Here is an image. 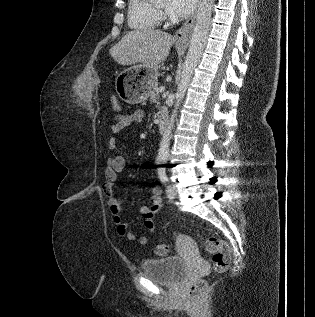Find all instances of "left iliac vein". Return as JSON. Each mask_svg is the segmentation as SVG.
Returning a JSON list of instances; mask_svg holds the SVG:
<instances>
[{
	"label": "left iliac vein",
	"instance_id": "4c4485c4",
	"mask_svg": "<svg viewBox=\"0 0 315 317\" xmlns=\"http://www.w3.org/2000/svg\"><path fill=\"white\" fill-rule=\"evenodd\" d=\"M177 193H178V190L175 184H172L170 188L167 190V195L169 197H175Z\"/></svg>",
	"mask_w": 315,
	"mask_h": 317
}]
</instances>
